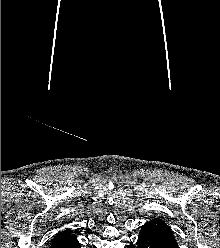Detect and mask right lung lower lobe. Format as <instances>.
Listing matches in <instances>:
<instances>
[{"mask_svg": "<svg viewBox=\"0 0 220 248\" xmlns=\"http://www.w3.org/2000/svg\"><path fill=\"white\" fill-rule=\"evenodd\" d=\"M53 248H80V244L78 243L75 236L64 240L53 246Z\"/></svg>", "mask_w": 220, "mask_h": 248, "instance_id": "98d812e1", "label": "right lung lower lobe"}]
</instances>
